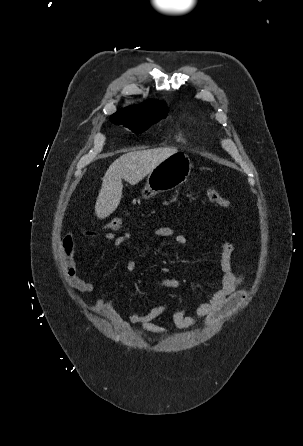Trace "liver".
I'll return each instance as SVG.
<instances>
[{"instance_id": "obj_1", "label": "liver", "mask_w": 303, "mask_h": 446, "mask_svg": "<svg viewBox=\"0 0 303 446\" xmlns=\"http://www.w3.org/2000/svg\"><path fill=\"white\" fill-rule=\"evenodd\" d=\"M177 153L174 148L131 151L116 159L107 169L95 204L98 218L104 219L115 211L122 198V179L137 184L157 165Z\"/></svg>"}]
</instances>
